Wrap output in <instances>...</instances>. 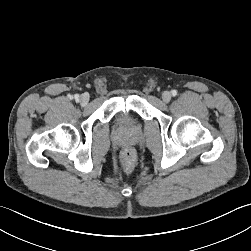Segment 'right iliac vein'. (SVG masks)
I'll use <instances>...</instances> for the list:
<instances>
[{"label": "right iliac vein", "instance_id": "1", "mask_svg": "<svg viewBox=\"0 0 251 251\" xmlns=\"http://www.w3.org/2000/svg\"><path fill=\"white\" fill-rule=\"evenodd\" d=\"M79 101L82 105H87V103L89 102V95L87 93H84L80 96Z\"/></svg>", "mask_w": 251, "mask_h": 251}]
</instances>
